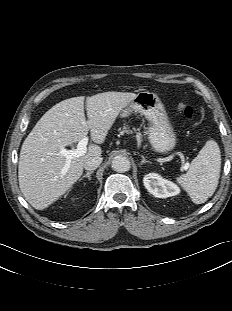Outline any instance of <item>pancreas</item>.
Instances as JSON below:
<instances>
[{"instance_id": "pancreas-1", "label": "pancreas", "mask_w": 232, "mask_h": 311, "mask_svg": "<svg viewBox=\"0 0 232 311\" xmlns=\"http://www.w3.org/2000/svg\"><path fill=\"white\" fill-rule=\"evenodd\" d=\"M122 133H126V134L136 133L135 137L137 141L138 142L142 141V134L139 132V129H136V128L130 129V126L127 124H124Z\"/></svg>"}]
</instances>
